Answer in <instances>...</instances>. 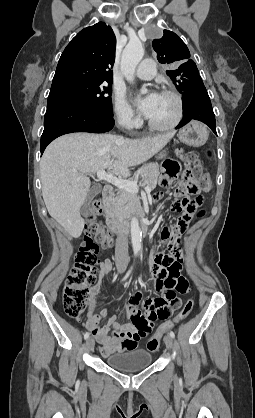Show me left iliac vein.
I'll return each mask as SVG.
<instances>
[{"mask_svg":"<svg viewBox=\"0 0 255 418\" xmlns=\"http://www.w3.org/2000/svg\"><path fill=\"white\" fill-rule=\"evenodd\" d=\"M164 342L166 347L171 350L173 348V339L170 335H165Z\"/></svg>","mask_w":255,"mask_h":418,"instance_id":"obj_1","label":"left iliac vein"}]
</instances>
